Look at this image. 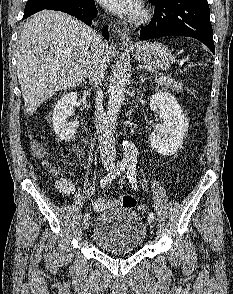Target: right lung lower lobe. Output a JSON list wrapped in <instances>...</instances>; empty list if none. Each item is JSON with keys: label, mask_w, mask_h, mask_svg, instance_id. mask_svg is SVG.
<instances>
[{"label": "right lung lower lobe", "mask_w": 233, "mask_h": 294, "mask_svg": "<svg viewBox=\"0 0 233 294\" xmlns=\"http://www.w3.org/2000/svg\"><path fill=\"white\" fill-rule=\"evenodd\" d=\"M43 10H55L72 15L85 24L90 25L91 21L97 15V9L94 0H77L68 4H59L44 8ZM25 19V18H24ZM103 36L108 40V28L104 27Z\"/></svg>", "instance_id": "right-lung-lower-lobe-1"}]
</instances>
